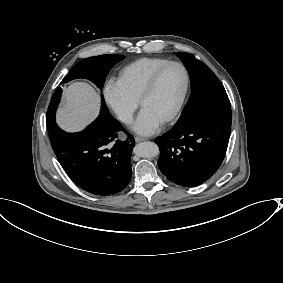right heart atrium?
Instances as JSON below:
<instances>
[{
	"instance_id": "1",
	"label": "right heart atrium",
	"mask_w": 283,
	"mask_h": 283,
	"mask_svg": "<svg viewBox=\"0 0 283 283\" xmlns=\"http://www.w3.org/2000/svg\"><path fill=\"white\" fill-rule=\"evenodd\" d=\"M102 91L107 105L117 118L123 123L130 122L138 102L126 92L121 82L116 78H109Z\"/></svg>"
}]
</instances>
